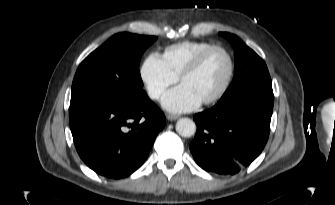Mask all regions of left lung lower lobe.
Wrapping results in <instances>:
<instances>
[{
  "label": "left lung lower lobe",
  "instance_id": "left-lung-lower-lobe-1",
  "mask_svg": "<svg viewBox=\"0 0 335 205\" xmlns=\"http://www.w3.org/2000/svg\"><path fill=\"white\" fill-rule=\"evenodd\" d=\"M272 111L273 101L241 95L196 114L198 128L190 150L197 164L223 175L251 164L267 143Z\"/></svg>",
  "mask_w": 335,
  "mask_h": 205
}]
</instances>
